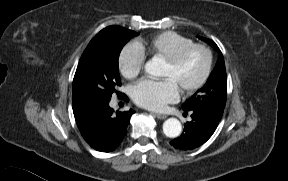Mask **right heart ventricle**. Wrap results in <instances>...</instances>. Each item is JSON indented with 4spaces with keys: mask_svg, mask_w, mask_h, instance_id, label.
Here are the masks:
<instances>
[{
    "mask_svg": "<svg viewBox=\"0 0 288 181\" xmlns=\"http://www.w3.org/2000/svg\"><path fill=\"white\" fill-rule=\"evenodd\" d=\"M193 40L174 31H165L149 39L139 41L137 46L151 58L164 60L180 49L193 44Z\"/></svg>",
    "mask_w": 288,
    "mask_h": 181,
    "instance_id": "1",
    "label": "right heart ventricle"
}]
</instances>
